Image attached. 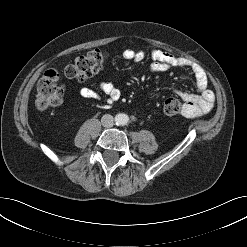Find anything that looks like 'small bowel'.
<instances>
[{
	"mask_svg": "<svg viewBox=\"0 0 247 247\" xmlns=\"http://www.w3.org/2000/svg\"><path fill=\"white\" fill-rule=\"evenodd\" d=\"M123 57L128 62H142L146 59L147 53L144 51L126 50ZM152 63L150 70L158 73L169 68H182L190 71L194 77L197 93H187L183 91H176L177 95L183 100L182 115L185 117H198L206 114L213 107L214 95L208 89V77L205 70L198 64L189 61L186 58L174 56L163 50H153L150 54ZM99 92L106 95L110 99H117L120 96V91L109 82H102L99 84ZM99 92L83 88L80 93L85 99L96 100L100 97Z\"/></svg>",
	"mask_w": 247,
	"mask_h": 247,
	"instance_id": "c3829d8e",
	"label": "small bowel"
}]
</instances>
